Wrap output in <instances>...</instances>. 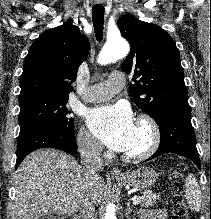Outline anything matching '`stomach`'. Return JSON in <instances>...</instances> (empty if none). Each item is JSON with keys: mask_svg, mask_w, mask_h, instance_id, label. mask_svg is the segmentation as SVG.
<instances>
[{"mask_svg": "<svg viewBox=\"0 0 211 219\" xmlns=\"http://www.w3.org/2000/svg\"><path fill=\"white\" fill-rule=\"evenodd\" d=\"M157 177L153 169L142 167L128 173L124 183L132 188L147 189L155 184Z\"/></svg>", "mask_w": 211, "mask_h": 219, "instance_id": "1", "label": "stomach"}]
</instances>
